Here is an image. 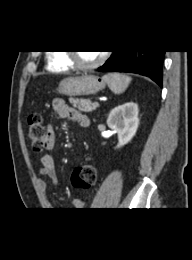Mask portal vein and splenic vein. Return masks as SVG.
I'll return each mask as SVG.
<instances>
[{"label": "portal vein and splenic vein", "mask_w": 192, "mask_h": 260, "mask_svg": "<svg viewBox=\"0 0 192 260\" xmlns=\"http://www.w3.org/2000/svg\"><path fill=\"white\" fill-rule=\"evenodd\" d=\"M93 107H95V108H96V107H99V103H98V102H94V103H93Z\"/></svg>", "instance_id": "1"}]
</instances>
